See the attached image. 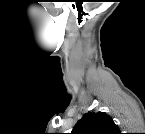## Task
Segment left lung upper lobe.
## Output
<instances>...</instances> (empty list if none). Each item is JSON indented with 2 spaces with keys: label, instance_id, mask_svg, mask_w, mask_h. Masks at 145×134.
<instances>
[{
  "label": "left lung upper lobe",
  "instance_id": "5c2ea615",
  "mask_svg": "<svg viewBox=\"0 0 145 134\" xmlns=\"http://www.w3.org/2000/svg\"><path fill=\"white\" fill-rule=\"evenodd\" d=\"M72 134H119L120 129L104 112L90 111L74 126Z\"/></svg>",
  "mask_w": 145,
  "mask_h": 134
}]
</instances>
